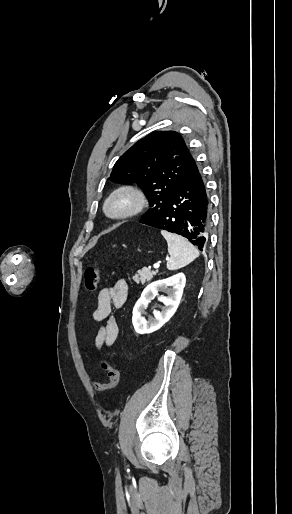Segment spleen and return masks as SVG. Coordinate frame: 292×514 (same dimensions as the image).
<instances>
[{"label":"spleen","instance_id":"1","mask_svg":"<svg viewBox=\"0 0 292 514\" xmlns=\"http://www.w3.org/2000/svg\"><path fill=\"white\" fill-rule=\"evenodd\" d=\"M168 244L169 260L167 262L168 270H179L188 266L195 258H198L199 252L195 246H192L186 238L170 234V232H161Z\"/></svg>","mask_w":292,"mask_h":514}]
</instances>
